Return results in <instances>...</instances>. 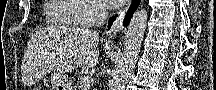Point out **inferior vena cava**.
Listing matches in <instances>:
<instances>
[{"instance_id": "inferior-vena-cava-1", "label": "inferior vena cava", "mask_w": 216, "mask_h": 90, "mask_svg": "<svg viewBox=\"0 0 216 90\" xmlns=\"http://www.w3.org/2000/svg\"><path fill=\"white\" fill-rule=\"evenodd\" d=\"M94 16H95V26L97 28H101L104 20L108 18V10L107 6H102V4H95L93 8Z\"/></svg>"}]
</instances>
